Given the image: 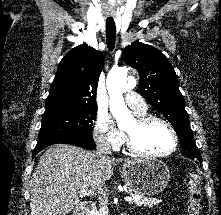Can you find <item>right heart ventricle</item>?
I'll return each mask as SVG.
<instances>
[{
	"label": "right heart ventricle",
	"instance_id": "right-heart-ventricle-1",
	"mask_svg": "<svg viewBox=\"0 0 221 215\" xmlns=\"http://www.w3.org/2000/svg\"><path fill=\"white\" fill-rule=\"evenodd\" d=\"M137 115H145V113H143V114H137Z\"/></svg>",
	"mask_w": 221,
	"mask_h": 215
}]
</instances>
